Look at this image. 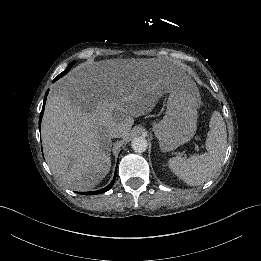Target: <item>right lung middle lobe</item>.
Returning a JSON list of instances; mask_svg holds the SVG:
<instances>
[{"mask_svg": "<svg viewBox=\"0 0 261 261\" xmlns=\"http://www.w3.org/2000/svg\"><path fill=\"white\" fill-rule=\"evenodd\" d=\"M75 63V61H73V62H71L70 64H69V66L62 72V73H60L55 79H54V81H56V80H58L59 78H61L62 76H64L69 70H70V68L72 67V65Z\"/></svg>", "mask_w": 261, "mask_h": 261, "instance_id": "obj_1", "label": "right lung middle lobe"}]
</instances>
